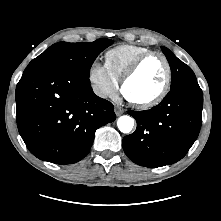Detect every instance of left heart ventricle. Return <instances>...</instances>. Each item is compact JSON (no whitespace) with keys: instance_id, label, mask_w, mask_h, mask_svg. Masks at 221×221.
Listing matches in <instances>:
<instances>
[{"instance_id":"obj_1","label":"left heart ventricle","mask_w":221,"mask_h":221,"mask_svg":"<svg viewBox=\"0 0 221 221\" xmlns=\"http://www.w3.org/2000/svg\"><path fill=\"white\" fill-rule=\"evenodd\" d=\"M166 68L159 57L147 59L139 71L127 82L126 96L135 101H145L154 97L162 88Z\"/></svg>"}]
</instances>
